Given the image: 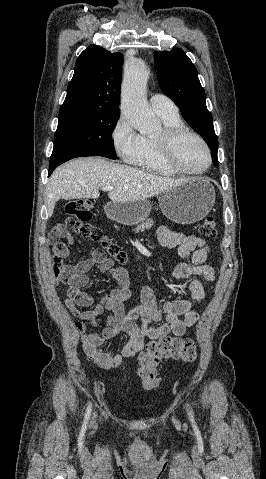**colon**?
<instances>
[{
	"mask_svg": "<svg viewBox=\"0 0 266 479\" xmlns=\"http://www.w3.org/2000/svg\"><path fill=\"white\" fill-rule=\"evenodd\" d=\"M93 208L94 200L91 198L71 200L65 205L62 210L64 220L54 227L50 235L51 240L55 242L54 257L65 258L68 256L67 246L58 239L68 230H74L92 241L100 242L109 258L119 263H125L127 261L125 251L111 238L105 236L98 227L90 223ZM199 231L205 237L215 238L217 236L215 219L206 217L202 221ZM196 356V346L191 339L166 336L149 342L145 350L140 353L137 366V375L142 388L146 391H153L158 387L156 366L162 358L171 357L184 363H191Z\"/></svg>",
	"mask_w": 266,
	"mask_h": 479,
	"instance_id": "1",
	"label": "colon"
}]
</instances>
